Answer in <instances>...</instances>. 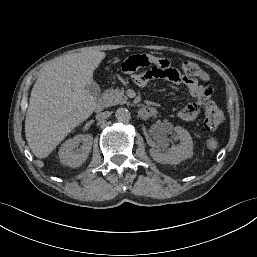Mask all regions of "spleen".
Instances as JSON below:
<instances>
[{
    "mask_svg": "<svg viewBox=\"0 0 257 257\" xmlns=\"http://www.w3.org/2000/svg\"><path fill=\"white\" fill-rule=\"evenodd\" d=\"M206 145H207L208 149L214 151L218 147V141L216 138L211 137V138L207 139Z\"/></svg>",
    "mask_w": 257,
    "mask_h": 257,
    "instance_id": "spleen-1",
    "label": "spleen"
}]
</instances>
